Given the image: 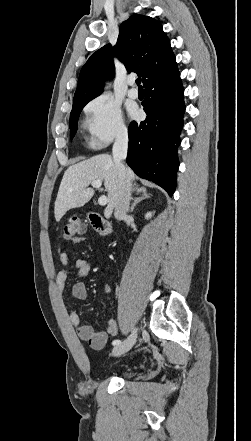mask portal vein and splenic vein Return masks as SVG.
<instances>
[{
	"instance_id": "18ae733b",
	"label": "portal vein and splenic vein",
	"mask_w": 251,
	"mask_h": 441,
	"mask_svg": "<svg viewBox=\"0 0 251 441\" xmlns=\"http://www.w3.org/2000/svg\"><path fill=\"white\" fill-rule=\"evenodd\" d=\"M101 185H102V181L101 180H96V181H93L91 183V186L94 187V188H100ZM107 202H108V199H107V197L105 195H101L99 197V199H98V204L100 206H105L107 204Z\"/></svg>"
}]
</instances>
